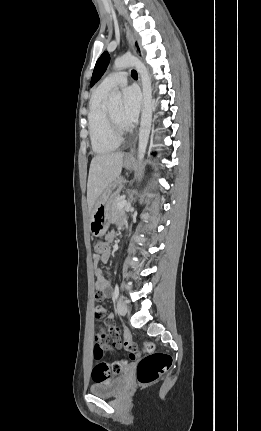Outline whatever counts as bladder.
<instances>
[{"mask_svg":"<svg viewBox=\"0 0 261 431\" xmlns=\"http://www.w3.org/2000/svg\"><path fill=\"white\" fill-rule=\"evenodd\" d=\"M125 385L124 377L102 379L90 386V392L99 397H113L117 395Z\"/></svg>","mask_w":261,"mask_h":431,"instance_id":"1","label":"bladder"}]
</instances>
